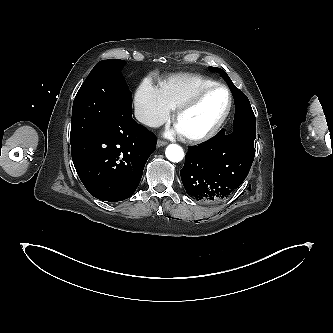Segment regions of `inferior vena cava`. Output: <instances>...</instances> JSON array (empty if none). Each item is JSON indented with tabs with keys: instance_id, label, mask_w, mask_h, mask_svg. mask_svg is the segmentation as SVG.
Wrapping results in <instances>:
<instances>
[{
	"instance_id": "602c4592",
	"label": "inferior vena cava",
	"mask_w": 333,
	"mask_h": 333,
	"mask_svg": "<svg viewBox=\"0 0 333 333\" xmlns=\"http://www.w3.org/2000/svg\"><path fill=\"white\" fill-rule=\"evenodd\" d=\"M135 117L139 122L150 127H159L163 124L162 121H160L159 119L155 118L150 113L142 109L135 110Z\"/></svg>"
}]
</instances>
